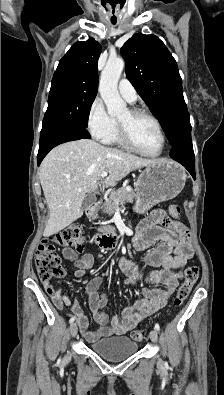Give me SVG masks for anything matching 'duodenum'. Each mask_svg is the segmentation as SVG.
<instances>
[{
    "instance_id": "1",
    "label": "duodenum",
    "mask_w": 224,
    "mask_h": 395,
    "mask_svg": "<svg viewBox=\"0 0 224 395\" xmlns=\"http://www.w3.org/2000/svg\"><path fill=\"white\" fill-rule=\"evenodd\" d=\"M97 206L98 201H95L88 210V216H93ZM94 239L98 246L103 250H111L121 245V237L119 233L112 227L108 228L102 233L96 234Z\"/></svg>"
}]
</instances>
